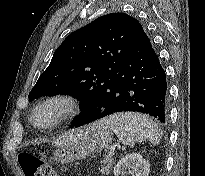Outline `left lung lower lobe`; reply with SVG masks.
<instances>
[{
	"label": "left lung lower lobe",
	"instance_id": "left-lung-lower-lobe-1",
	"mask_svg": "<svg viewBox=\"0 0 205 176\" xmlns=\"http://www.w3.org/2000/svg\"><path fill=\"white\" fill-rule=\"evenodd\" d=\"M124 111L167 121L166 74L146 34L75 127Z\"/></svg>",
	"mask_w": 205,
	"mask_h": 176
}]
</instances>
